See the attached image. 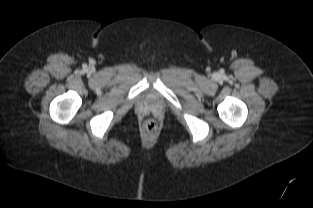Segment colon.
Here are the masks:
<instances>
[{
  "label": "colon",
  "mask_w": 313,
  "mask_h": 208,
  "mask_svg": "<svg viewBox=\"0 0 313 208\" xmlns=\"http://www.w3.org/2000/svg\"><path fill=\"white\" fill-rule=\"evenodd\" d=\"M143 128L146 133L153 134L157 131L158 125L155 120L150 119L144 123Z\"/></svg>",
  "instance_id": "1"
}]
</instances>
